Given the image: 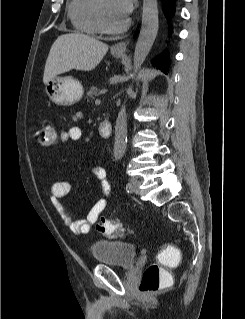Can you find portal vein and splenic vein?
I'll return each mask as SVG.
<instances>
[{
  "label": "portal vein and splenic vein",
  "mask_w": 245,
  "mask_h": 319,
  "mask_svg": "<svg viewBox=\"0 0 245 319\" xmlns=\"http://www.w3.org/2000/svg\"><path fill=\"white\" fill-rule=\"evenodd\" d=\"M95 103H96V104H100V103H101L100 99H96V100H95Z\"/></svg>",
  "instance_id": "18ae733b"
}]
</instances>
